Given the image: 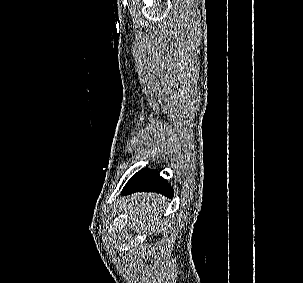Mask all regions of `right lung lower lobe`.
Segmentation results:
<instances>
[{"instance_id":"right-lung-lower-lobe-1","label":"right lung lower lobe","mask_w":303,"mask_h":283,"mask_svg":"<svg viewBox=\"0 0 303 283\" xmlns=\"http://www.w3.org/2000/svg\"><path fill=\"white\" fill-rule=\"evenodd\" d=\"M156 192L167 197H172L173 189L171 185L159 176L157 170L144 169L137 172L125 185L123 193L134 192Z\"/></svg>"}]
</instances>
